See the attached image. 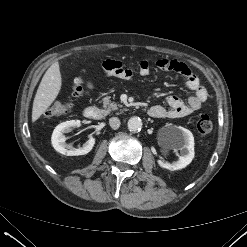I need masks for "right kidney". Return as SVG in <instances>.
<instances>
[{
    "label": "right kidney",
    "mask_w": 247,
    "mask_h": 247,
    "mask_svg": "<svg viewBox=\"0 0 247 247\" xmlns=\"http://www.w3.org/2000/svg\"><path fill=\"white\" fill-rule=\"evenodd\" d=\"M80 126V120H70L56 126L51 137L54 149L59 153L67 156H78L89 153L95 144V138L92 136H90L87 142L84 143L80 148H74L72 145L65 143L67 138L65 137L64 133H68L72 130V128Z\"/></svg>",
    "instance_id": "ca27d5eb"
}]
</instances>
